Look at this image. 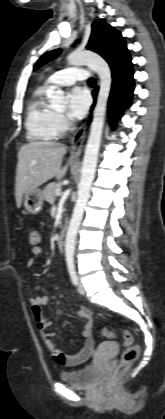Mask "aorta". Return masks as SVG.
I'll list each match as a JSON object with an SVG mask.
<instances>
[{"mask_svg":"<svg viewBox=\"0 0 165 419\" xmlns=\"http://www.w3.org/2000/svg\"><path fill=\"white\" fill-rule=\"evenodd\" d=\"M67 61L69 65H87L91 70L98 74L100 79L90 135L83 158L81 179L78 186V198L65 239L66 262L67 264H73L76 236L95 176L106 108L112 85V76L108 63L96 53L90 51H74L67 57ZM49 102L51 108L55 110L63 109L65 104L64 92L61 89L56 90L50 97Z\"/></svg>","mask_w":165,"mask_h":419,"instance_id":"obj_1","label":"aorta"}]
</instances>
